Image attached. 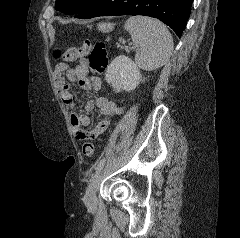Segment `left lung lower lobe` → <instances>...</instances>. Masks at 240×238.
Segmentation results:
<instances>
[{"instance_id":"0a47b994","label":"left lung lower lobe","mask_w":240,"mask_h":238,"mask_svg":"<svg viewBox=\"0 0 240 238\" xmlns=\"http://www.w3.org/2000/svg\"><path fill=\"white\" fill-rule=\"evenodd\" d=\"M193 0H91L75 17L143 15L157 18L181 37Z\"/></svg>"}]
</instances>
